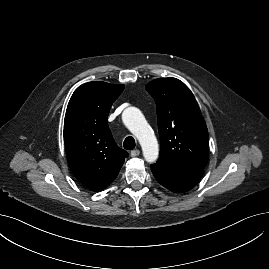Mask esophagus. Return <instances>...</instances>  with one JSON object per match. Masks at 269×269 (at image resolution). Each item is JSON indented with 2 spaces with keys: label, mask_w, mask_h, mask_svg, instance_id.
Returning <instances> with one entry per match:
<instances>
[{
  "label": "esophagus",
  "mask_w": 269,
  "mask_h": 269,
  "mask_svg": "<svg viewBox=\"0 0 269 269\" xmlns=\"http://www.w3.org/2000/svg\"><path fill=\"white\" fill-rule=\"evenodd\" d=\"M139 154H140V151H139L138 149H136V150H132L131 153H130V155H131L132 157H136V156H138Z\"/></svg>",
  "instance_id": "34e87169"
}]
</instances>
